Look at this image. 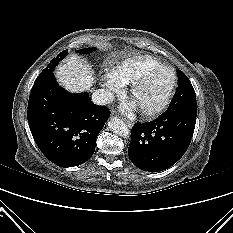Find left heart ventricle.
<instances>
[{
    "instance_id": "left-heart-ventricle-1",
    "label": "left heart ventricle",
    "mask_w": 233,
    "mask_h": 233,
    "mask_svg": "<svg viewBox=\"0 0 233 233\" xmlns=\"http://www.w3.org/2000/svg\"><path fill=\"white\" fill-rule=\"evenodd\" d=\"M171 77L164 72L154 73L147 82L139 89L135 98L138 107H149L159 102L165 95Z\"/></svg>"
}]
</instances>
